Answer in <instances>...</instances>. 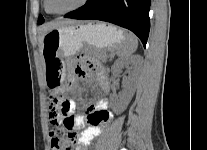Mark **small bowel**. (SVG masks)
Returning a JSON list of instances; mask_svg holds the SVG:
<instances>
[{
    "instance_id": "1",
    "label": "small bowel",
    "mask_w": 207,
    "mask_h": 150,
    "mask_svg": "<svg viewBox=\"0 0 207 150\" xmlns=\"http://www.w3.org/2000/svg\"><path fill=\"white\" fill-rule=\"evenodd\" d=\"M90 69L83 66L77 67L75 74L81 78H94L100 89L108 92V83L106 72L98 64L89 63ZM68 87H75V79L71 77ZM62 99H65L62 97ZM71 107H66L67 112L72 120L73 130H82L77 137L78 150H83L90 142L99 136L106 125L112 120L113 114L108 110V102L106 99L99 100L96 104L89 106L85 114H75V103L72 100Z\"/></svg>"
}]
</instances>
